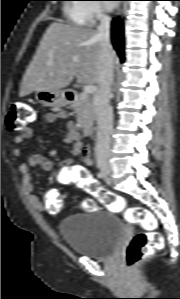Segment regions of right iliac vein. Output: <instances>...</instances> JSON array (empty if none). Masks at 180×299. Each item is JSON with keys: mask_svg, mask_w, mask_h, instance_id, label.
Returning <instances> with one entry per match:
<instances>
[{"mask_svg": "<svg viewBox=\"0 0 180 299\" xmlns=\"http://www.w3.org/2000/svg\"><path fill=\"white\" fill-rule=\"evenodd\" d=\"M98 166L104 174L110 173V167H109L108 163L106 162V159H104V158L100 159Z\"/></svg>", "mask_w": 180, "mask_h": 299, "instance_id": "1", "label": "right iliac vein"}]
</instances>
